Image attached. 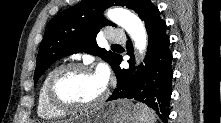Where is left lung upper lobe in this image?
I'll list each match as a JSON object with an SVG mask.
<instances>
[{"label":"left lung upper lobe","instance_id":"1","mask_svg":"<svg viewBox=\"0 0 221 123\" xmlns=\"http://www.w3.org/2000/svg\"><path fill=\"white\" fill-rule=\"evenodd\" d=\"M148 2L150 0H83L57 14L46 27L37 56L34 82L53 62L78 52L97 55L113 66L119 55L96 43V35L103 26H116L104 18V10L113 5L126 6L140 15Z\"/></svg>","mask_w":221,"mask_h":123}]
</instances>
